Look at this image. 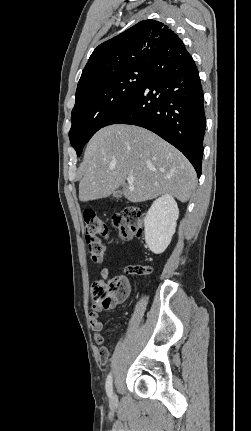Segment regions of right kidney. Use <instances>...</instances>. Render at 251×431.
Here are the masks:
<instances>
[{"mask_svg": "<svg viewBox=\"0 0 251 431\" xmlns=\"http://www.w3.org/2000/svg\"><path fill=\"white\" fill-rule=\"evenodd\" d=\"M178 216V205L171 195L165 194L153 202L144 219L145 241L153 253L161 254L168 247Z\"/></svg>", "mask_w": 251, "mask_h": 431, "instance_id": "obj_1", "label": "right kidney"}]
</instances>
